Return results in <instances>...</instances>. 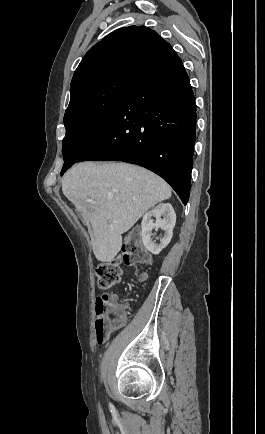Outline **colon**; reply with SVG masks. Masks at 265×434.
Returning a JSON list of instances; mask_svg holds the SVG:
<instances>
[{
    "label": "colon",
    "instance_id": "obj_1",
    "mask_svg": "<svg viewBox=\"0 0 265 434\" xmlns=\"http://www.w3.org/2000/svg\"><path fill=\"white\" fill-rule=\"evenodd\" d=\"M120 261L124 264L130 265L148 262L147 257L141 250L136 233L124 247V251L120 257L115 261L103 263L96 267L95 273L97 284L101 290L113 289L118 284L121 275ZM94 299L97 301L95 303V308L97 310L94 312V315L96 316L94 327L97 334L95 343L97 347H106L108 343L107 341L110 340V327H118L119 321H123L125 317L118 308L112 309L109 315L105 314L108 297H105L104 294L97 293L94 296Z\"/></svg>",
    "mask_w": 265,
    "mask_h": 434
}]
</instances>
